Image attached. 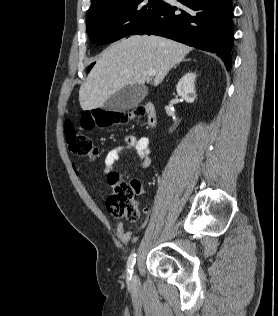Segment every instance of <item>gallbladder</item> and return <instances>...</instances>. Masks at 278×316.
<instances>
[{"label":"gallbladder","instance_id":"1","mask_svg":"<svg viewBox=\"0 0 278 316\" xmlns=\"http://www.w3.org/2000/svg\"><path fill=\"white\" fill-rule=\"evenodd\" d=\"M144 85H128L114 93L103 105V109L112 112H125L136 107L145 98Z\"/></svg>","mask_w":278,"mask_h":316}]
</instances>
